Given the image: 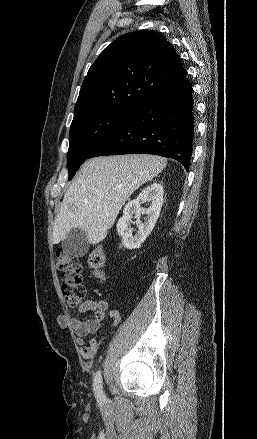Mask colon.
Listing matches in <instances>:
<instances>
[{
	"label": "colon",
	"instance_id": "1",
	"mask_svg": "<svg viewBox=\"0 0 257 439\" xmlns=\"http://www.w3.org/2000/svg\"><path fill=\"white\" fill-rule=\"evenodd\" d=\"M104 262L105 255L101 247L91 251L88 257V264L100 279L104 277L102 271ZM56 266L64 275L61 290L66 303L72 308L79 306L86 295L81 275V264L73 255L64 250H59L56 253Z\"/></svg>",
	"mask_w": 257,
	"mask_h": 439
}]
</instances>
